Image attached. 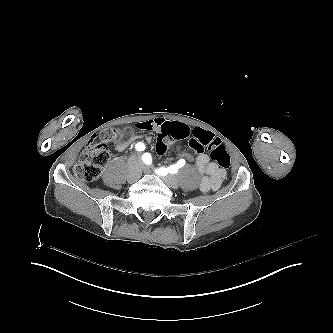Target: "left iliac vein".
<instances>
[{
	"mask_svg": "<svg viewBox=\"0 0 333 333\" xmlns=\"http://www.w3.org/2000/svg\"><path fill=\"white\" fill-rule=\"evenodd\" d=\"M141 170L144 171L146 174H151V170L147 166L142 165L141 166ZM161 179L164 181V183L168 187H170L172 189L178 188V181H177V179H176L175 176H173V175H166L164 177H161Z\"/></svg>",
	"mask_w": 333,
	"mask_h": 333,
	"instance_id": "left-iliac-vein-1",
	"label": "left iliac vein"
}]
</instances>
